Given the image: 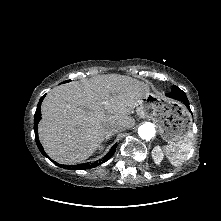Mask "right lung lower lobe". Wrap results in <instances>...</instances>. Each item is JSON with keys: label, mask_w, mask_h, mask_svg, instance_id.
<instances>
[{"label": "right lung lower lobe", "mask_w": 221, "mask_h": 221, "mask_svg": "<svg viewBox=\"0 0 221 221\" xmlns=\"http://www.w3.org/2000/svg\"><path fill=\"white\" fill-rule=\"evenodd\" d=\"M45 95L41 97L38 105H37V109L34 115V131H35V141L37 144L38 149L40 150V152L47 158H49L47 156V154L44 152L43 147L41 145V143L39 142V138H38V132H37V126H38V122L41 119V103L44 99ZM116 146L117 144H115L111 150L108 152V154L103 157V159L93 162V163H83V164H79V165H71V166H66V165H62V164H58V166H60L61 168H66V169H70V170H85V169H90V168H94L96 166H98L99 164H101L102 162L107 161L108 159H110L112 157V155L115 153L116 150ZM55 164V162H53Z\"/></svg>", "instance_id": "98d812e1"}]
</instances>
